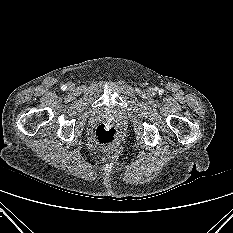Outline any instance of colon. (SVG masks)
<instances>
[{
  "mask_svg": "<svg viewBox=\"0 0 233 233\" xmlns=\"http://www.w3.org/2000/svg\"><path fill=\"white\" fill-rule=\"evenodd\" d=\"M94 139L99 147H111L117 140V131L110 125L99 124L94 131Z\"/></svg>",
  "mask_w": 233,
  "mask_h": 233,
  "instance_id": "1",
  "label": "colon"
}]
</instances>
